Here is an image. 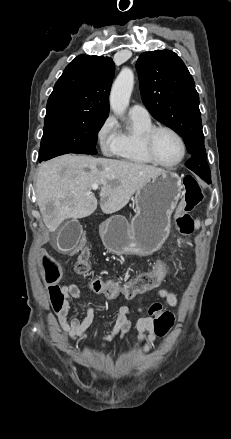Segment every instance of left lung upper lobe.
Returning a JSON list of instances; mask_svg holds the SVG:
<instances>
[{"mask_svg": "<svg viewBox=\"0 0 231 439\" xmlns=\"http://www.w3.org/2000/svg\"><path fill=\"white\" fill-rule=\"evenodd\" d=\"M136 68L144 105L156 120L182 136L191 155L186 167L210 183L199 96L185 64L173 51L155 50L141 54Z\"/></svg>", "mask_w": 231, "mask_h": 439, "instance_id": "left-lung-upper-lobe-1", "label": "left lung upper lobe"}]
</instances>
